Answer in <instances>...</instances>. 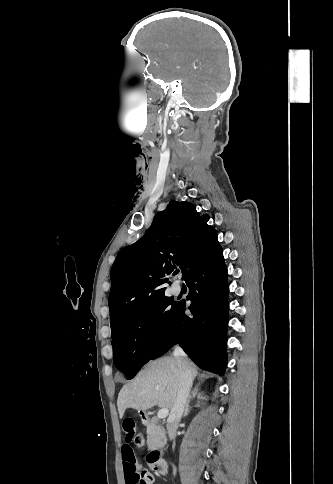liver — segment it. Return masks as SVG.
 I'll list each match as a JSON object with an SVG mask.
<instances>
[{
	"label": "liver",
	"mask_w": 333,
	"mask_h": 484,
	"mask_svg": "<svg viewBox=\"0 0 333 484\" xmlns=\"http://www.w3.org/2000/svg\"><path fill=\"white\" fill-rule=\"evenodd\" d=\"M192 375H197L190 362ZM179 366L174 357H162L149 362L137 376L119 392L117 407L120 418L127 408L146 411L156 405L171 409L179 389Z\"/></svg>",
	"instance_id": "6515ba94"
}]
</instances>
